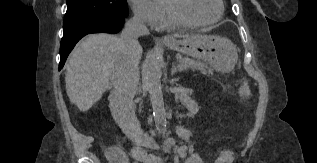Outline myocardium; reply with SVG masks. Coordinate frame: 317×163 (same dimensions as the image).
<instances>
[{
    "mask_svg": "<svg viewBox=\"0 0 317 163\" xmlns=\"http://www.w3.org/2000/svg\"><path fill=\"white\" fill-rule=\"evenodd\" d=\"M217 2L219 5V13L214 19L207 21H191L181 15L176 6L177 0H162L163 7L168 19L175 25L189 28L208 26L220 21L224 13V2L223 0H217Z\"/></svg>",
    "mask_w": 317,
    "mask_h": 163,
    "instance_id": "obj_1",
    "label": "myocardium"
}]
</instances>
